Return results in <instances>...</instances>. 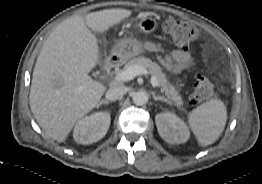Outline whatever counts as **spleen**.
<instances>
[{
  "instance_id": "spleen-1",
  "label": "spleen",
  "mask_w": 262,
  "mask_h": 184,
  "mask_svg": "<svg viewBox=\"0 0 262 184\" xmlns=\"http://www.w3.org/2000/svg\"><path fill=\"white\" fill-rule=\"evenodd\" d=\"M188 120L199 145L205 147L214 143L224 130L227 110L220 99H212L189 113Z\"/></svg>"
}]
</instances>
